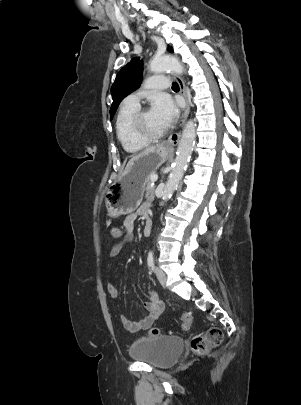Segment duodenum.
<instances>
[{
	"instance_id": "duodenum-1",
	"label": "duodenum",
	"mask_w": 301,
	"mask_h": 405,
	"mask_svg": "<svg viewBox=\"0 0 301 405\" xmlns=\"http://www.w3.org/2000/svg\"><path fill=\"white\" fill-rule=\"evenodd\" d=\"M151 230H152V223L149 219H147L144 226L143 234L145 236H148L151 233Z\"/></svg>"
}]
</instances>
